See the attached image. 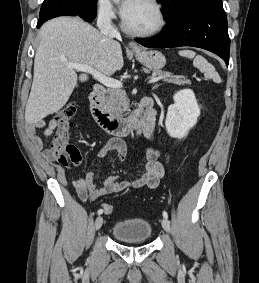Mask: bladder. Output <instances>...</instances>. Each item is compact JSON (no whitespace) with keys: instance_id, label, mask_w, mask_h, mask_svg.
Returning <instances> with one entry per match:
<instances>
[{"instance_id":"31cf9c89","label":"bladder","mask_w":259,"mask_h":283,"mask_svg":"<svg viewBox=\"0 0 259 283\" xmlns=\"http://www.w3.org/2000/svg\"><path fill=\"white\" fill-rule=\"evenodd\" d=\"M112 236L120 241H144L152 235L151 224L139 218L118 221L111 230Z\"/></svg>"}]
</instances>
